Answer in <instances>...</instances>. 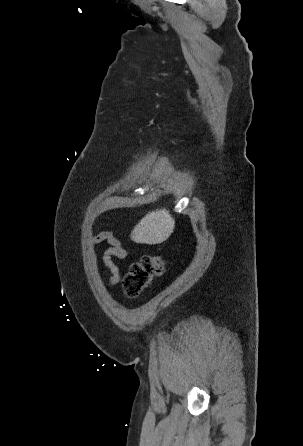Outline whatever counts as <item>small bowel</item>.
Segmentation results:
<instances>
[{
	"mask_svg": "<svg viewBox=\"0 0 303 446\" xmlns=\"http://www.w3.org/2000/svg\"><path fill=\"white\" fill-rule=\"evenodd\" d=\"M101 243L108 244V248L103 253L102 260L104 265L110 271L109 284L113 286L118 284L121 279L119 267L115 264L114 259H125L127 257V251L112 233H97L90 240V255L93 265H96L97 261L95 247Z\"/></svg>",
	"mask_w": 303,
	"mask_h": 446,
	"instance_id": "small-bowel-1",
	"label": "small bowel"
}]
</instances>
